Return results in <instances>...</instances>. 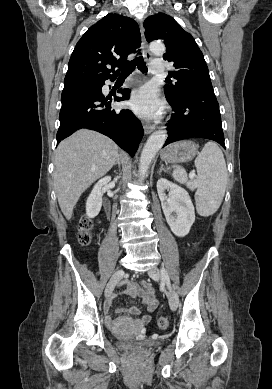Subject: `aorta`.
I'll list each match as a JSON object with an SVG mask.
<instances>
[{
	"mask_svg": "<svg viewBox=\"0 0 272 389\" xmlns=\"http://www.w3.org/2000/svg\"><path fill=\"white\" fill-rule=\"evenodd\" d=\"M150 51L154 55L161 56L165 51V46L161 42H152L150 44ZM166 139L167 132L165 130L155 131L148 138L140 156L139 176L141 179H143L147 174L151 162L155 158L157 152L164 145Z\"/></svg>",
	"mask_w": 272,
	"mask_h": 389,
	"instance_id": "obj_1",
	"label": "aorta"
}]
</instances>
